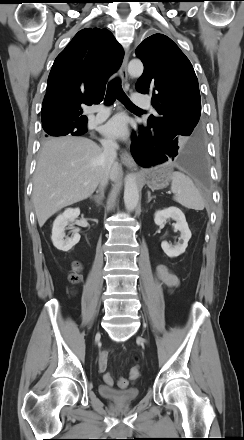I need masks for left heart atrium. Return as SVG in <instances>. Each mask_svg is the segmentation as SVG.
<instances>
[{
  "label": "left heart atrium",
  "mask_w": 244,
  "mask_h": 440,
  "mask_svg": "<svg viewBox=\"0 0 244 440\" xmlns=\"http://www.w3.org/2000/svg\"><path fill=\"white\" fill-rule=\"evenodd\" d=\"M101 132L111 139H125L128 136L127 118L122 114L113 116L102 125Z\"/></svg>",
  "instance_id": "left-heart-atrium-1"
}]
</instances>
